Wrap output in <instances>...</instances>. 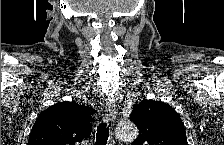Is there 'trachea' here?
<instances>
[{
    "instance_id": "trachea-1",
    "label": "trachea",
    "mask_w": 224,
    "mask_h": 145,
    "mask_svg": "<svg viewBox=\"0 0 224 145\" xmlns=\"http://www.w3.org/2000/svg\"><path fill=\"white\" fill-rule=\"evenodd\" d=\"M109 137V128H107L105 123H101L98 126L96 133V142L95 145H106Z\"/></svg>"
}]
</instances>
